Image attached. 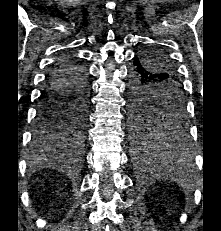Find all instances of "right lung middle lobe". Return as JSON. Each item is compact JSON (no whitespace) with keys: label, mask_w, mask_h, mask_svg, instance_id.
<instances>
[{"label":"right lung middle lobe","mask_w":221,"mask_h":231,"mask_svg":"<svg viewBox=\"0 0 221 231\" xmlns=\"http://www.w3.org/2000/svg\"><path fill=\"white\" fill-rule=\"evenodd\" d=\"M88 99L77 97L60 104L47 106L44 128L38 139L57 144L60 138L80 143L84 137Z\"/></svg>","instance_id":"right-lung-middle-lobe-1"}]
</instances>
